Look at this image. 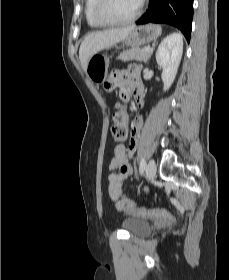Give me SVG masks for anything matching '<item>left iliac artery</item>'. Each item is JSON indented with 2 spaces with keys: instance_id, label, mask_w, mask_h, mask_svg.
<instances>
[{
  "instance_id": "1",
  "label": "left iliac artery",
  "mask_w": 229,
  "mask_h": 280,
  "mask_svg": "<svg viewBox=\"0 0 229 280\" xmlns=\"http://www.w3.org/2000/svg\"><path fill=\"white\" fill-rule=\"evenodd\" d=\"M145 168H146V161L144 158H141L140 165H139V171L141 175L143 174Z\"/></svg>"
}]
</instances>
